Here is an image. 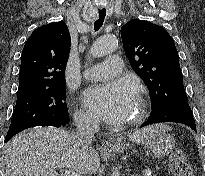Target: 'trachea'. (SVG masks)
<instances>
[{
  "instance_id": "trachea-1",
  "label": "trachea",
  "mask_w": 205,
  "mask_h": 176,
  "mask_svg": "<svg viewBox=\"0 0 205 176\" xmlns=\"http://www.w3.org/2000/svg\"><path fill=\"white\" fill-rule=\"evenodd\" d=\"M105 16H106V10L105 9L99 10L98 19L94 23L95 31H98L102 27Z\"/></svg>"
}]
</instances>
